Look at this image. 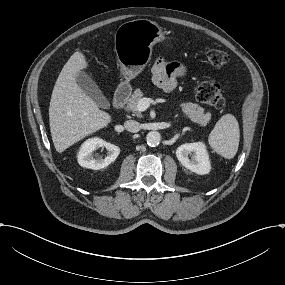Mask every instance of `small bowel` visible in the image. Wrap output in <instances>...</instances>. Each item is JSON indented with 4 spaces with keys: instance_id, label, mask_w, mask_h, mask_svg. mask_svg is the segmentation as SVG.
<instances>
[{
    "instance_id": "obj_1",
    "label": "small bowel",
    "mask_w": 285,
    "mask_h": 285,
    "mask_svg": "<svg viewBox=\"0 0 285 285\" xmlns=\"http://www.w3.org/2000/svg\"><path fill=\"white\" fill-rule=\"evenodd\" d=\"M184 66L177 62H166L159 58L152 67V80L156 86L165 92L175 89L177 81L185 74Z\"/></svg>"
}]
</instances>
